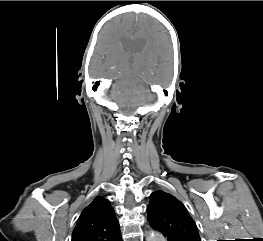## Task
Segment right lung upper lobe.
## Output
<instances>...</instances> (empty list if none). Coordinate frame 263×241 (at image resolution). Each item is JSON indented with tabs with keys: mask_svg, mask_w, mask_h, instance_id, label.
<instances>
[{
	"mask_svg": "<svg viewBox=\"0 0 263 241\" xmlns=\"http://www.w3.org/2000/svg\"><path fill=\"white\" fill-rule=\"evenodd\" d=\"M71 241H121L119 222L107 199L97 196L82 211Z\"/></svg>",
	"mask_w": 263,
	"mask_h": 241,
	"instance_id": "cb5924a9",
	"label": "right lung upper lobe"
}]
</instances>
